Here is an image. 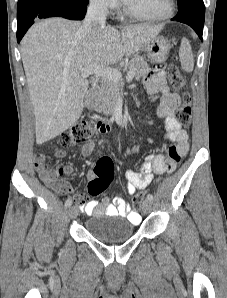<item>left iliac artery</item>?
I'll use <instances>...</instances> for the list:
<instances>
[{
	"label": "left iliac artery",
	"mask_w": 227,
	"mask_h": 298,
	"mask_svg": "<svg viewBox=\"0 0 227 298\" xmlns=\"http://www.w3.org/2000/svg\"><path fill=\"white\" fill-rule=\"evenodd\" d=\"M147 199H149V200H153V195H152V194H148V195H147Z\"/></svg>",
	"instance_id": "left-iliac-artery-1"
}]
</instances>
